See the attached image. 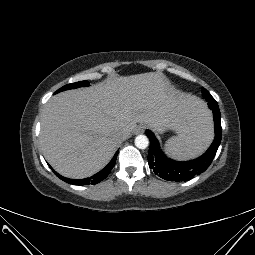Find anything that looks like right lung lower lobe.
I'll return each instance as SVG.
<instances>
[{"label":"right lung lower lobe","mask_w":255,"mask_h":255,"mask_svg":"<svg viewBox=\"0 0 255 255\" xmlns=\"http://www.w3.org/2000/svg\"><path fill=\"white\" fill-rule=\"evenodd\" d=\"M116 158H117V152L115 153L114 157L112 158V160L110 161V163L100 172H98L97 174L91 176L90 178H85V179H80V180H75V179H69V178H65L61 175H59L57 172H55L51 167V169L53 170V172L63 181L73 184V185H89V184H96L99 183L100 181L104 180L110 173V171L113 169L115 162H116Z\"/></svg>","instance_id":"98d812e1"}]
</instances>
